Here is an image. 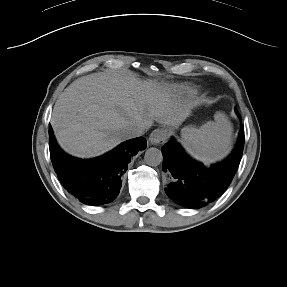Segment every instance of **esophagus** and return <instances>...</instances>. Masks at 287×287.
<instances>
[{
    "label": "esophagus",
    "mask_w": 287,
    "mask_h": 287,
    "mask_svg": "<svg viewBox=\"0 0 287 287\" xmlns=\"http://www.w3.org/2000/svg\"><path fill=\"white\" fill-rule=\"evenodd\" d=\"M167 136H168L167 130L163 128H157L150 134L149 142L152 145H161L166 141Z\"/></svg>",
    "instance_id": "34e87169"
}]
</instances>
